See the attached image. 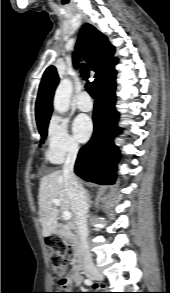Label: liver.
<instances>
[{"label":"liver","instance_id":"1","mask_svg":"<svg viewBox=\"0 0 170 293\" xmlns=\"http://www.w3.org/2000/svg\"><path fill=\"white\" fill-rule=\"evenodd\" d=\"M53 199L59 200L61 211H71L74 214L63 171L60 170L40 180L39 220L45 237L50 236L58 227L59 209L53 204Z\"/></svg>","mask_w":170,"mask_h":293}]
</instances>
